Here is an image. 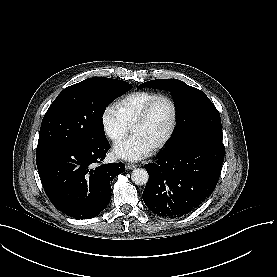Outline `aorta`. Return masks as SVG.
Returning a JSON list of instances; mask_svg holds the SVG:
<instances>
[{"label":"aorta","instance_id":"762f6f07","mask_svg":"<svg viewBox=\"0 0 277 277\" xmlns=\"http://www.w3.org/2000/svg\"><path fill=\"white\" fill-rule=\"evenodd\" d=\"M131 179L137 185H144L148 181V173L143 168H135L131 173Z\"/></svg>","mask_w":277,"mask_h":277}]
</instances>
